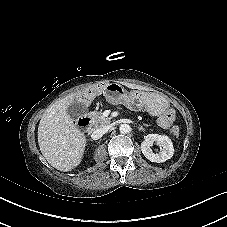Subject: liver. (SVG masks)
I'll use <instances>...</instances> for the list:
<instances>
[{"label": "liver", "instance_id": "6515ba94", "mask_svg": "<svg viewBox=\"0 0 227 227\" xmlns=\"http://www.w3.org/2000/svg\"><path fill=\"white\" fill-rule=\"evenodd\" d=\"M132 89L138 87L132 86ZM80 94H71L49 107L38 126V144L47 162L55 169L68 172L76 168L84 154L86 136L76 127L68 107Z\"/></svg>", "mask_w": 227, "mask_h": 227}]
</instances>
